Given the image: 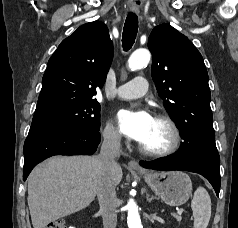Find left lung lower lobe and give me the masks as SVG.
I'll return each instance as SVG.
<instances>
[{
  "label": "left lung lower lobe",
  "instance_id": "0a47b994",
  "mask_svg": "<svg viewBox=\"0 0 238 228\" xmlns=\"http://www.w3.org/2000/svg\"><path fill=\"white\" fill-rule=\"evenodd\" d=\"M140 165L153 170H180L198 173L211 183L217 196L219 195L220 157L216 146L203 149L184 160L180 159L177 154H173L151 162L141 161Z\"/></svg>",
  "mask_w": 238,
  "mask_h": 228
}]
</instances>
